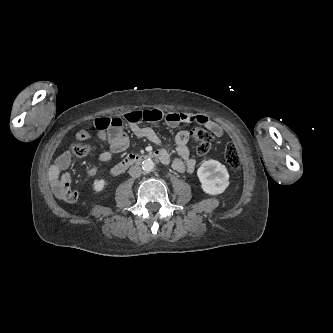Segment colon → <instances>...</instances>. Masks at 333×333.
Segmentation results:
<instances>
[{
	"label": "colon",
	"instance_id": "5ec220e1",
	"mask_svg": "<svg viewBox=\"0 0 333 333\" xmlns=\"http://www.w3.org/2000/svg\"><path fill=\"white\" fill-rule=\"evenodd\" d=\"M160 117H157L159 119ZM123 122L117 117H99L94 121V127L99 131L118 130L122 128ZM194 140L199 142L197 154L204 156L211 147L212 134L204 128H195L191 132ZM91 148L87 144H74L72 146L73 153L78 157H83L89 154ZM224 158L226 163L232 169L236 170L240 167V157L234 143H228L224 150Z\"/></svg>",
	"mask_w": 333,
	"mask_h": 333
}]
</instances>
